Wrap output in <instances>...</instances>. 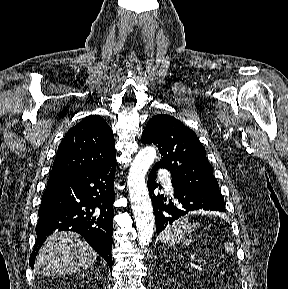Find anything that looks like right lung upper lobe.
<instances>
[{"label": "right lung upper lobe", "instance_id": "obj_1", "mask_svg": "<svg viewBox=\"0 0 288 289\" xmlns=\"http://www.w3.org/2000/svg\"><path fill=\"white\" fill-rule=\"evenodd\" d=\"M116 157L114 136L98 115L72 127L58 147L50 178L97 169Z\"/></svg>", "mask_w": 288, "mask_h": 289}]
</instances>
